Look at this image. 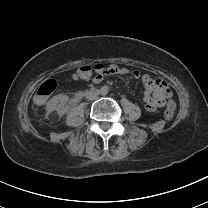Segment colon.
Returning <instances> with one entry per match:
<instances>
[{"mask_svg": "<svg viewBox=\"0 0 208 208\" xmlns=\"http://www.w3.org/2000/svg\"><path fill=\"white\" fill-rule=\"evenodd\" d=\"M99 69H104V65L99 64ZM95 68H92L88 65L81 66L76 74L73 75L74 81H79L81 79H87L92 77V73L94 72ZM102 73V72H101ZM100 73V74H101ZM58 88V83L54 79L47 80L43 85H41L38 89V91L35 94L34 101L36 104L41 105L44 102L47 101L48 97L52 95ZM176 111V103L174 100L170 99L168 100L166 104V110H165V118L168 121L173 120L174 115Z\"/></svg>", "mask_w": 208, "mask_h": 208, "instance_id": "1", "label": "colon"}]
</instances>
